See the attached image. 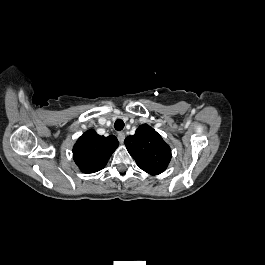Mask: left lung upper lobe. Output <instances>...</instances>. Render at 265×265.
<instances>
[{"instance_id": "left-lung-upper-lobe-1", "label": "left lung upper lobe", "mask_w": 265, "mask_h": 265, "mask_svg": "<svg viewBox=\"0 0 265 265\" xmlns=\"http://www.w3.org/2000/svg\"><path fill=\"white\" fill-rule=\"evenodd\" d=\"M137 165L151 175L165 171L171 160V149L149 125H140L133 136L124 140Z\"/></svg>"}]
</instances>
